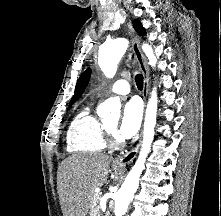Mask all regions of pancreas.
<instances>
[{
  "label": "pancreas",
  "mask_w": 221,
  "mask_h": 216,
  "mask_svg": "<svg viewBox=\"0 0 221 216\" xmlns=\"http://www.w3.org/2000/svg\"><path fill=\"white\" fill-rule=\"evenodd\" d=\"M100 198L101 196L99 194L93 196L90 206V216H101V212L99 209Z\"/></svg>",
  "instance_id": "1"
}]
</instances>
